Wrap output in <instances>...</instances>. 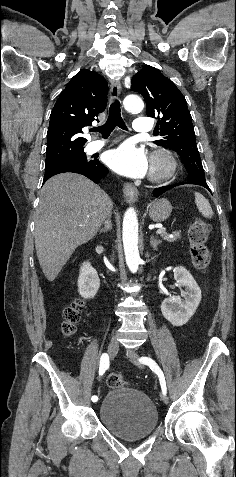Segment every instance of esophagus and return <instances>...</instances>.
Returning <instances> with one entry per match:
<instances>
[{
    "mask_svg": "<svg viewBox=\"0 0 236 477\" xmlns=\"http://www.w3.org/2000/svg\"><path fill=\"white\" fill-rule=\"evenodd\" d=\"M121 92V83L118 80L111 81L110 97L112 101L118 99ZM123 196L129 203L135 202L138 199V190L131 183H125L123 185Z\"/></svg>",
    "mask_w": 236,
    "mask_h": 477,
    "instance_id": "34e87169",
    "label": "esophagus"
}]
</instances>
